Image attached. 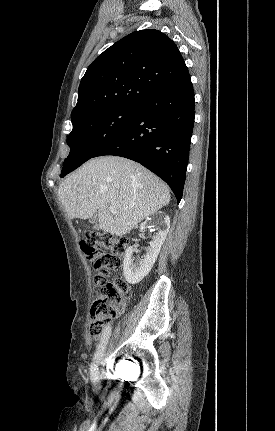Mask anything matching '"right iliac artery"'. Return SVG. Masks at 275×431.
I'll list each match as a JSON object with an SVG mask.
<instances>
[{"instance_id":"obj_1","label":"right iliac artery","mask_w":275,"mask_h":431,"mask_svg":"<svg viewBox=\"0 0 275 431\" xmlns=\"http://www.w3.org/2000/svg\"><path fill=\"white\" fill-rule=\"evenodd\" d=\"M111 330L112 327L110 324H108L103 331L100 343L97 345V349L93 357V362L91 364V375L94 379H97L99 362L108 343V339L111 335Z\"/></svg>"}]
</instances>
